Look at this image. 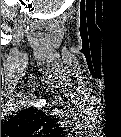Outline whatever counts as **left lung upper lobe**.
<instances>
[{
  "instance_id": "1",
  "label": "left lung upper lobe",
  "mask_w": 121,
  "mask_h": 137,
  "mask_svg": "<svg viewBox=\"0 0 121 137\" xmlns=\"http://www.w3.org/2000/svg\"><path fill=\"white\" fill-rule=\"evenodd\" d=\"M58 128L54 119L45 112L25 109L1 125V135L32 136L53 133Z\"/></svg>"
}]
</instances>
